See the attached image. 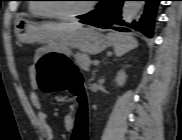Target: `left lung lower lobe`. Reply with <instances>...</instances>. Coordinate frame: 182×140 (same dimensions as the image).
<instances>
[{"label":"left lung lower lobe","instance_id":"obj_1","mask_svg":"<svg viewBox=\"0 0 182 140\" xmlns=\"http://www.w3.org/2000/svg\"><path fill=\"white\" fill-rule=\"evenodd\" d=\"M159 1L146 0V8L141 20L133 22L132 25L121 20V8L124 0H102L98 4V8L82 18L80 22L104 29L110 28L125 32L138 31L147 37H152L154 18Z\"/></svg>","mask_w":182,"mask_h":140}]
</instances>
